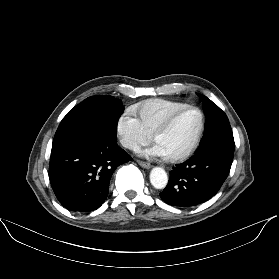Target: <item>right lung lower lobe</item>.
<instances>
[{"label": "right lung lower lobe", "mask_w": 279, "mask_h": 279, "mask_svg": "<svg viewBox=\"0 0 279 279\" xmlns=\"http://www.w3.org/2000/svg\"><path fill=\"white\" fill-rule=\"evenodd\" d=\"M116 138L103 134L73 146L52 148L49 179L65 208L93 211L106 200L114 170L131 160Z\"/></svg>", "instance_id": "right-lung-lower-lobe-1"}]
</instances>
